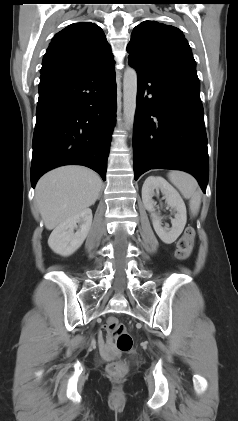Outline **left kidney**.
<instances>
[{
  "label": "left kidney",
  "instance_id": "1",
  "mask_svg": "<svg viewBox=\"0 0 238 421\" xmlns=\"http://www.w3.org/2000/svg\"><path fill=\"white\" fill-rule=\"evenodd\" d=\"M155 190L162 192L166 203L176 212L174 219H171V228L162 227L161 217L155 213ZM142 201L151 214L153 227L159 238L166 244L173 243L182 233L187 221L186 206L179 193L165 179L150 176L142 186Z\"/></svg>",
  "mask_w": 238,
  "mask_h": 421
}]
</instances>
